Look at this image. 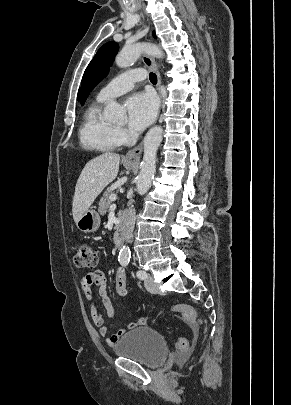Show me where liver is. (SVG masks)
I'll return each mask as SVG.
<instances>
[{
    "label": "liver",
    "instance_id": "liver-1",
    "mask_svg": "<svg viewBox=\"0 0 291 405\" xmlns=\"http://www.w3.org/2000/svg\"><path fill=\"white\" fill-rule=\"evenodd\" d=\"M120 156L106 152L90 160L83 168L73 198L75 223L90 208L97 196L113 182L119 171Z\"/></svg>",
    "mask_w": 291,
    "mask_h": 405
}]
</instances>
